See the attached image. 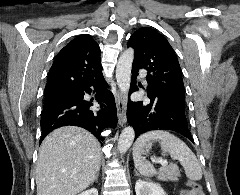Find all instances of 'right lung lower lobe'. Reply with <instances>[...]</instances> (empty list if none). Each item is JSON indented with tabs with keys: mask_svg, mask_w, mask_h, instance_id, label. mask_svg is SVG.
Returning <instances> with one entry per match:
<instances>
[{
	"mask_svg": "<svg viewBox=\"0 0 240 195\" xmlns=\"http://www.w3.org/2000/svg\"><path fill=\"white\" fill-rule=\"evenodd\" d=\"M91 92H96L95 100L96 104H99V110H95L93 99L84 100V95ZM40 124V143L52 130L66 125L87 129L103 142L101 132L108 127H116L117 124L114 96L107 90L104 77L78 89H64L45 94Z\"/></svg>",
	"mask_w": 240,
	"mask_h": 195,
	"instance_id": "1",
	"label": "right lung lower lobe"
}]
</instances>
